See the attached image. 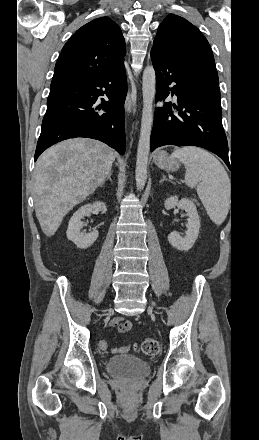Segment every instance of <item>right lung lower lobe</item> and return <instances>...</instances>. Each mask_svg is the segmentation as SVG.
Wrapping results in <instances>:
<instances>
[{
  "label": "right lung lower lobe",
  "mask_w": 259,
  "mask_h": 440,
  "mask_svg": "<svg viewBox=\"0 0 259 440\" xmlns=\"http://www.w3.org/2000/svg\"><path fill=\"white\" fill-rule=\"evenodd\" d=\"M104 94L109 101L102 99L101 105H97L98 97ZM126 94L124 64L105 75L51 86L34 160L53 144L76 137L100 140L124 154ZM100 109L106 112L98 113Z\"/></svg>",
  "instance_id": "right-lung-lower-lobe-1"
}]
</instances>
